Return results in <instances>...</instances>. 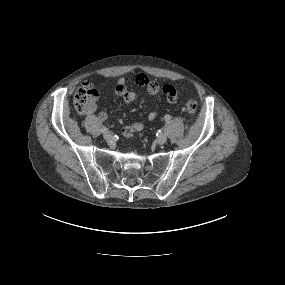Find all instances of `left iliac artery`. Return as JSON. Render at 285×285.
<instances>
[{
  "label": "left iliac artery",
  "mask_w": 285,
  "mask_h": 285,
  "mask_svg": "<svg viewBox=\"0 0 285 285\" xmlns=\"http://www.w3.org/2000/svg\"><path fill=\"white\" fill-rule=\"evenodd\" d=\"M164 119H165L166 122H168V121H170L171 116L170 115H165ZM161 134L162 133H160L159 135H161Z\"/></svg>",
  "instance_id": "1"
}]
</instances>
